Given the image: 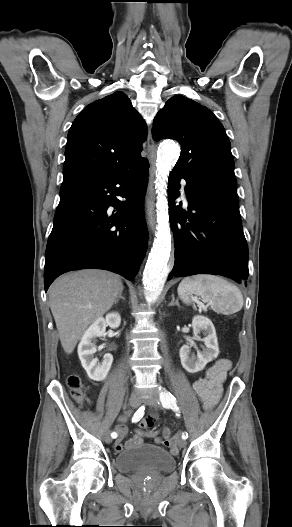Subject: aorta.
I'll return each instance as SVG.
<instances>
[{"mask_svg": "<svg viewBox=\"0 0 292 527\" xmlns=\"http://www.w3.org/2000/svg\"><path fill=\"white\" fill-rule=\"evenodd\" d=\"M180 148L175 142L163 143L158 150L157 162V232L153 247L143 272L144 295L148 302L159 298L166 276L171 252V235L168 224V204L166 198V182L169 172L177 162Z\"/></svg>", "mask_w": 292, "mask_h": 527, "instance_id": "obj_1", "label": "aorta"}]
</instances>
